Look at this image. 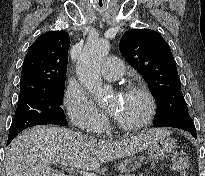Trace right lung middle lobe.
I'll return each instance as SVG.
<instances>
[{
    "label": "right lung middle lobe",
    "instance_id": "1",
    "mask_svg": "<svg viewBox=\"0 0 205 176\" xmlns=\"http://www.w3.org/2000/svg\"><path fill=\"white\" fill-rule=\"evenodd\" d=\"M64 88L65 83H62L45 90L20 95L8 140L14 138L22 130L36 125L66 126L68 123L60 107Z\"/></svg>",
    "mask_w": 205,
    "mask_h": 176
}]
</instances>
